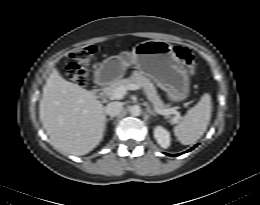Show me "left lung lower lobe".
Masks as SVG:
<instances>
[{
  "label": "left lung lower lobe",
  "mask_w": 260,
  "mask_h": 205,
  "mask_svg": "<svg viewBox=\"0 0 260 205\" xmlns=\"http://www.w3.org/2000/svg\"><path fill=\"white\" fill-rule=\"evenodd\" d=\"M178 155H180V154H176V155H170V156H178Z\"/></svg>",
  "instance_id": "1"
}]
</instances>
